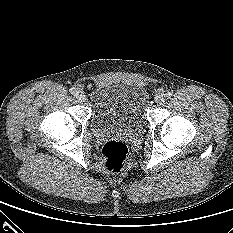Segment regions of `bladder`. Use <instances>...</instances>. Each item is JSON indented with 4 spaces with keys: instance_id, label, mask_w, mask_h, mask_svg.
I'll return each mask as SVG.
<instances>
[{
    "instance_id": "bladder-1",
    "label": "bladder",
    "mask_w": 233,
    "mask_h": 233,
    "mask_svg": "<svg viewBox=\"0 0 233 233\" xmlns=\"http://www.w3.org/2000/svg\"><path fill=\"white\" fill-rule=\"evenodd\" d=\"M91 124L97 131H141L146 122L147 91L125 83L96 84L90 93Z\"/></svg>"
}]
</instances>
